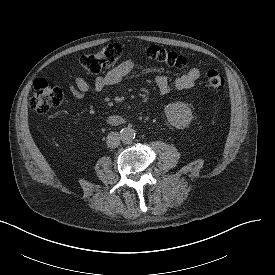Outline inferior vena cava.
Masks as SVG:
<instances>
[{
    "label": "inferior vena cava",
    "instance_id": "602c4592",
    "mask_svg": "<svg viewBox=\"0 0 275 275\" xmlns=\"http://www.w3.org/2000/svg\"><path fill=\"white\" fill-rule=\"evenodd\" d=\"M107 146L116 148L120 144V134L118 132H110L106 139Z\"/></svg>",
    "mask_w": 275,
    "mask_h": 275
}]
</instances>
